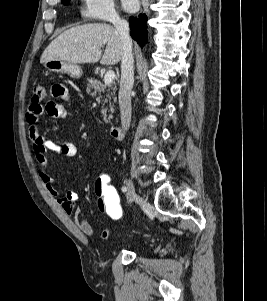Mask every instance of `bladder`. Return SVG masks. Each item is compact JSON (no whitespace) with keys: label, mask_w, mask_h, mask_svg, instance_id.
Returning <instances> with one entry per match:
<instances>
[{"label":"bladder","mask_w":267,"mask_h":301,"mask_svg":"<svg viewBox=\"0 0 267 301\" xmlns=\"http://www.w3.org/2000/svg\"><path fill=\"white\" fill-rule=\"evenodd\" d=\"M119 246H130V247H139L141 245L140 241L134 237H124L121 238L118 242Z\"/></svg>","instance_id":"31cf9c89"}]
</instances>
